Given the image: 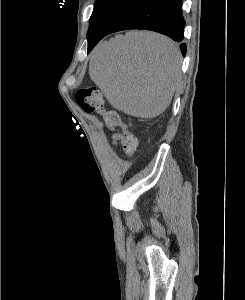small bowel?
<instances>
[{"label": "small bowel", "instance_id": "obj_1", "mask_svg": "<svg viewBox=\"0 0 245 300\" xmlns=\"http://www.w3.org/2000/svg\"><path fill=\"white\" fill-rule=\"evenodd\" d=\"M122 139V134L120 130H116L112 136L113 144L116 145Z\"/></svg>", "mask_w": 245, "mask_h": 300}]
</instances>
